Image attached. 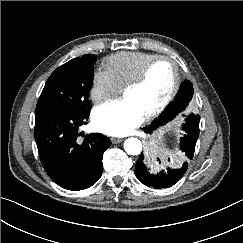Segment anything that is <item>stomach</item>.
Masks as SVG:
<instances>
[{
    "instance_id": "obj_1",
    "label": "stomach",
    "mask_w": 243,
    "mask_h": 243,
    "mask_svg": "<svg viewBox=\"0 0 243 243\" xmlns=\"http://www.w3.org/2000/svg\"><path fill=\"white\" fill-rule=\"evenodd\" d=\"M175 130V124H171L160 129L156 134L152 141L151 146V153L152 154H159L162 155L167 150V141L168 137L173 133Z\"/></svg>"
}]
</instances>
